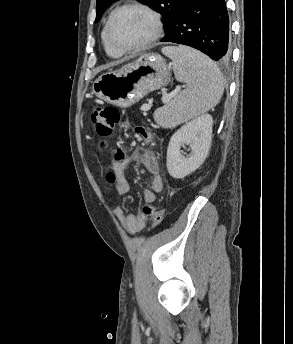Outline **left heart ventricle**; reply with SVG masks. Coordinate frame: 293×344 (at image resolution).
I'll return each mask as SVG.
<instances>
[{"instance_id": "b2bd125f", "label": "left heart ventricle", "mask_w": 293, "mask_h": 344, "mask_svg": "<svg viewBox=\"0 0 293 344\" xmlns=\"http://www.w3.org/2000/svg\"><path fill=\"white\" fill-rule=\"evenodd\" d=\"M150 18L137 9L119 12L111 26V38L119 47H130L144 41L151 33Z\"/></svg>"}]
</instances>
